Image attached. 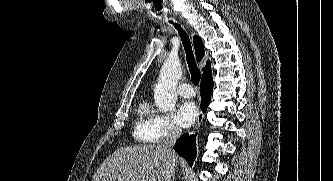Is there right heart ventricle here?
<instances>
[{"mask_svg":"<svg viewBox=\"0 0 333 181\" xmlns=\"http://www.w3.org/2000/svg\"><path fill=\"white\" fill-rule=\"evenodd\" d=\"M157 118L156 111L149 101H142L136 109V122L134 125V137L141 142H156L154 123Z\"/></svg>","mask_w":333,"mask_h":181,"instance_id":"e07e8e85","label":"right heart ventricle"}]
</instances>
